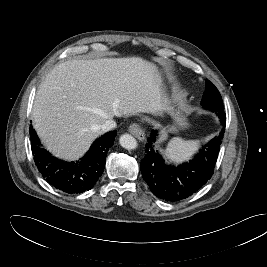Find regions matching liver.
Returning <instances> with one entry per match:
<instances>
[{"mask_svg":"<svg viewBox=\"0 0 267 267\" xmlns=\"http://www.w3.org/2000/svg\"><path fill=\"white\" fill-rule=\"evenodd\" d=\"M164 96L157 67L139 57L69 60L56 65L37 90L32 117L38 136L60 158L82 156L106 120L158 114Z\"/></svg>","mask_w":267,"mask_h":267,"instance_id":"6515ba94","label":"liver"}]
</instances>
